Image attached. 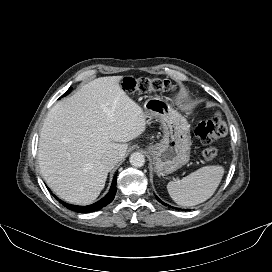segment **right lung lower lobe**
Listing matches in <instances>:
<instances>
[{"label": "right lung lower lobe", "instance_id": "right-lung-lower-lobe-1", "mask_svg": "<svg viewBox=\"0 0 272 272\" xmlns=\"http://www.w3.org/2000/svg\"><path fill=\"white\" fill-rule=\"evenodd\" d=\"M115 194H116V175L113 178L112 185H111V188H110V191L108 192V194L94 204H91L88 206H77V205L67 204L61 200H59V202L62 203L65 207H67L68 209H70L72 211L81 212V213H88V212L99 210L102 207L108 205L114 199ZM53 196L56 199H58L55 195H53Z\"/></svg>", "mask_w": 272, "mask_h": 272}]
</instances>
